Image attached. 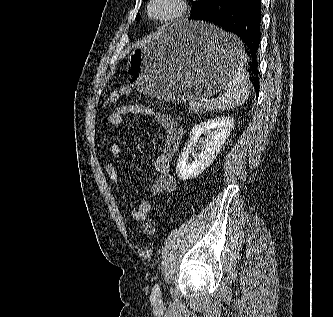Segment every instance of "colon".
Listing matches in <instances>:
<instances>
[{
  "instance_id": "1",
  "label": "colon",
  "mask_w": 333,
  "mask_h": 317,
  "mask_svg": "<svg viewBox=\"0 0 333 317\" xmlns=\"http://www.w3.org/2000/svg\"><path fill=\"white\" fill-rule=\"evenodd\" d=\"M130 90L127 88L116 89L110 93L107 97L105 104H113L117 102L122 96L128 95ZM143 231L147 236H153L155 233V228L151 223H146L143 227Z\"/></svg>"
}]
</instances>
